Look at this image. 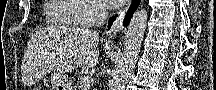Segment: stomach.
Masks as SVG:
<instances>
[{
	"label": "stomach",
	"instance_id": "0dacf381",
	"mask_svg": "<svg viewBox=\"0 0 216 90\" xmlns=\"http://www.w3.org/2000/svg\"><path fill=\"white\" fill-rule=\"evenodd\" d=\"M50 81L53 90H72L70 78L65 73L53 72Z\"/></svg>",
	"mask_w": 216,
	"mask_h": 90
}]
</instances>
